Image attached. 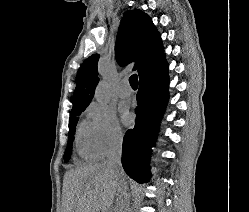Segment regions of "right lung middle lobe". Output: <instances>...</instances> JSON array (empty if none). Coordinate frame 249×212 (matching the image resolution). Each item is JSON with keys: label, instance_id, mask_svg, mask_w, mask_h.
I'll use <instances>...</instances> for the list:
<instances>
[{"label": "right lung middle lobe", "instance_id": "right-lung-middle-lobe-1", "mask_svg": "<svg viewBox=\"0 0 249 212\" xmlns=\"http://www.w3.org/2000/svg\"><path fill=\"white\" fill-rule=\"evenodd\" d=\"M85 110L84 109H77V110H71L70 113V122H69V133H68V144H67V148L65 150L64 153V161L68 162L71 156V152H72V144H73V139H74V134H75V130H76V125L78 122V117L81 112H83Z\"/></svg>", "mask_w": 249, "mask_h": 212}]
</instances>
